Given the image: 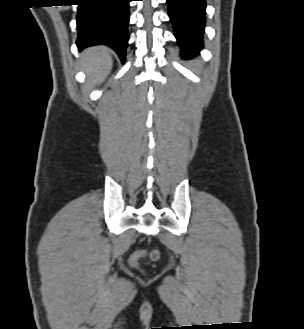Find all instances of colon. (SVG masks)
<instances>
[{
	"label": "colon",
	"instance_id": "5ec220e1",
	"mask_svg": "<svg viewBox=\"0 0 304 329\" xmlns=\"http://www.w3.org/2000/svg\"><path fill=\"white\" fill-rule=\"evenodd\" d=\"M142 256V253H135L133 254V256L131 257V260H130V263L132 266L136 267L137 266V261L138 259ZM150 258L153 260V261H156L158 260L159 258V254L157 251H152L150 253Z\"/></svg>",
	"mask_w": 304,
	"mask_h": 329
}]
</instances>
